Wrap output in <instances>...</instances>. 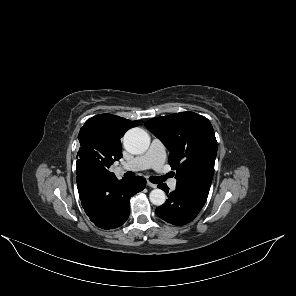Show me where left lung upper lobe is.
<instances>
[{"mask_svg": "<svg viewBox=\"0 0 296 296\" xmlns=\"http://www.w3.org/2000/svg\"><path fill=\"white\" fill-rule=\"evenodd\" d=\"M145 126L170 150L177 187L210 188L217 141L210 121L194 112L157 117Z\"/></svg>", "mask_w": 296, "mask_h": 296, "instance_id": "1", "label": "left lung upper lobe"}]
</instances>
